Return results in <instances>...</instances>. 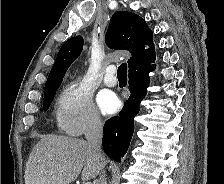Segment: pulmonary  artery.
Masks as SVG:
<instances>
[{"label": "pulmonary artery", "mask_w": 224, "mask_h": 184, "mask_svg": "<svg viewBox=\"0 0 224 184\" xmlns=\"http://www.w3.org/2000/svg\"><path fill=\"white\" fill-rule=\"evenodd\" d=\"M116 68L113 65H110L104 77V84L108 87H114L117 84V79L115 77Z\"/></svg>", "instance_id": "obj_1"}]
</instances>
